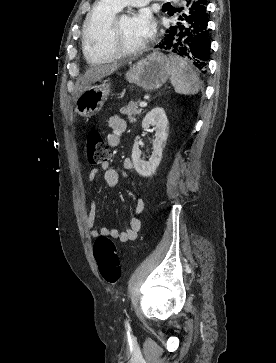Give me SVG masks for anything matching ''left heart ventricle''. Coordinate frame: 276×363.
Wrapping results in <instances>:
<instances>
[{"instance_id": "left-heart-ventricle-1", "label": "left heart ventricle", "mask_w": 276, "mask_h": 363, "mask_svg": "<svg viewBox=\"0 0 276 363\" xmlns=\"http://www.w3.org/2000/svg\"><path fill=\"white\" fill-rule=\"evenodd\" d=\"M134 17L124 15L121 19L119 42L125 48H135L147 40L139 31Z\"/></svg>"}]
</instances>
